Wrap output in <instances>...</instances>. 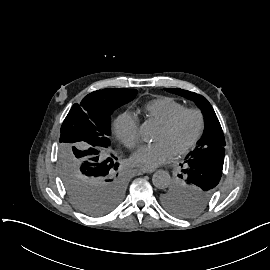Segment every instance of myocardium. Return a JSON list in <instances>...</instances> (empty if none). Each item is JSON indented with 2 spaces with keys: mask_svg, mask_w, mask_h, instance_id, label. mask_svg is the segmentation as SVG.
Returning a JSON list of instances; mask_svg holds the SVG:
<instances>
[{
  "mask_svg": "<svg viewBox=\"0 0 270 270\" xmlns=\"http://www.w3.org/2000/svg\"><path fill=\"white\" fill-rule=\"evenodd\" d=\"M188 114H193L196 119H197V127H196V131L192 137V139L185 145L179 147L177 149V154L178 155H182L185 154L186 152H188L190 149H192L195 144L197 143L202 129H203V114L201 113L200 110L195 109V108H188V109H184L181 112L177 113L176 115H174L171 119H169L168 121L162 123V126L166 129V130H173L178 124L179 122Z\"/></svg>",
  "mask_w": 270,
  "mask_h": 270,
  "instance_id": "obj_1",
  "label": "myocardium"
}]
</instances>
